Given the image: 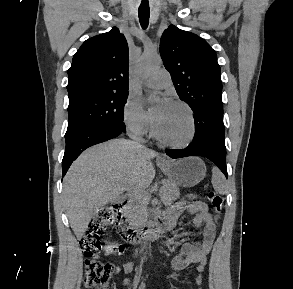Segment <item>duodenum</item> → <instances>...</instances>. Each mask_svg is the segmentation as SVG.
I'll return each mask as SVG.
<instances>
[{"instance_id": "obj_1", "label": "duodenum", "mask_w": 293, "mask_h": 289, "mask_svg": "<svg viewBox=\"0 0 293 289\" xmlns=\"http://www.w3.org/2000/svg\"><path fill=\"white\" fill-rule=\"evenodd\" d=\"M129 199H125L115 208V227L119 235L128 243L143 244L161 236L167 230L164 218H157L153 224L143 227L135 226L127 215Z\"/></svg>"}]
</instances>
